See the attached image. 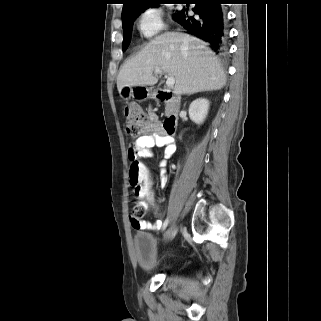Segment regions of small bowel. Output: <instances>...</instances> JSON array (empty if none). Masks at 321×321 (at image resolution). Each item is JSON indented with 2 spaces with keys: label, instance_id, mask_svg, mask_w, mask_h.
<instances>
[{
  "label": "small bowel",
  "instance_id": "small-bowel-1",
  "mask_svg": "<svg viewBox=\"0 0 321 321\" xmlns=\"http://www.w3.org/2000/svg\"><path fill=\"white\" fill-rule=\"evenodd\" d=\"M161 147L163 148L164 158L160 162V183L162 186L166 185L167 183V171L166 165L167 161L174 155L176 147L173 138L166 134L162 125L158 121H154L153 123V131L139 137L135 142V156H143L145 155L147 149L151 147ZM129 159L132 157V154L129 150L128 152ZM137 205L145 212L148 208L146 207L145 198H137ZM132 223V226L135 229L141 230H159L162 226L161 220H156L154 222H146V221H139L137 224Z\"/></svg>",
  "mask_w": 321,
  "mask_h": 321
}]
</instances>
